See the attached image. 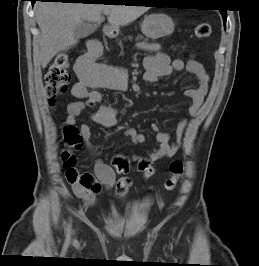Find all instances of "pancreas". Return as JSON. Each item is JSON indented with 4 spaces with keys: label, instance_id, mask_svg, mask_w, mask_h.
Segmentation results:
<instances>
[{
    "label": "pancreas",
    "instance_id": "pancreas-1",
    "mask_svg": "<svg viewBox=\"0 0 259 266\" xmlns=\"http://www.w3.org/2000/svg\"><path fill=\"white\" fill-rule=\"evenodd\" d=\"M138 39H143V37L139 36V37H137V40ZM140 45L143 46L146 49H152L153 48V46H151L150 44L147 43V39H145L143 42H141Z\"/></svg>",
    "mask_w": 259,
    "mask_h": 266
}]
</instances>
